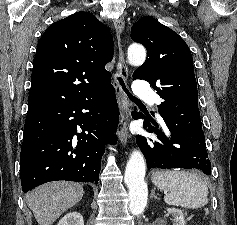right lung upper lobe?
Wrapping results in <instances>:
<instances>
[{
    "label": "right lung upper lobe",
    "instance_id": "cb5924a9",
    "mask_svg": "<svg viewBox=\"0 0 237 225\" xmlns=\"http://www.w3.org/2000/svg\"><path fill=\"white\" fill-rule=\"evenodd\" d=\"M113 59L109 29L88 12L48 27L37 44L28 111L69 103L110 84Z\"/></svg>",
    "mask_w": 237,
    "mask_h": 225
}]
</instances>
